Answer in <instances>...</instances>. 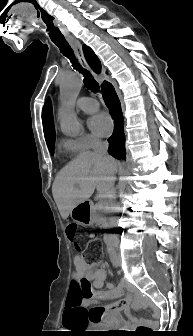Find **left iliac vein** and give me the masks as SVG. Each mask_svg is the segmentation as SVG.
I'll list each match as a JSON object with an SVG mask.
<instances>
[{
  "instance_id": "1",
  "label": "left iliac vein",
  "mask_w": 193,
  "mask_h": 336,
  "mask_svg": "<svg viewBox=\"0 0 193 336\" xmlns=\"http://www.w3.org/2000/svg\"><path fill=\"white\" fill-rule=\"evenodd\" d=\"M118 264H120V259L118 260Z\"/></svg>"
}]
</instances>
